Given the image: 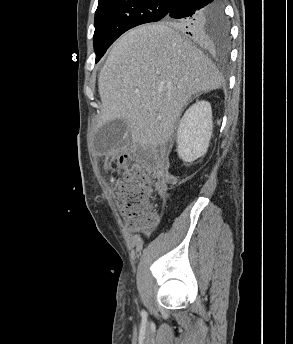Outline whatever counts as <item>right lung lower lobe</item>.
<instances>
[{
  "instance_id": "obj_1",
  "label": "right lung lower lobe",
  "mask_w": 293,
  "mask_h": 344,
  "mask_svg": "<svg viewBox=\"0 0 293 344\" xmlns=\"http://www.w3.org/2000/svg\"><path fill=\"white\" fill-rule=\"evenodd\" d=\"M220 0H175L167 17L184 20L183 31L198 43L205 44L206 25L199 18L212 13ZM221 2V1H220Z\"/></svg>"
}]
</instances>
